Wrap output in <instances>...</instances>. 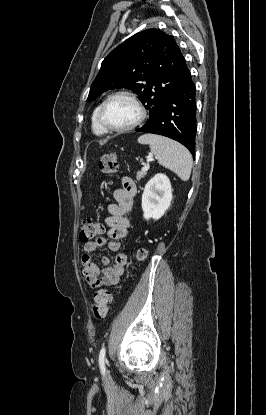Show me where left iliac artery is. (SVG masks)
<instances>
[{
    "label": "left iliac artery",
    "mask_w": 266,
    "mask_h": 415,
    "mask_svg": "<svg viewBox=\"0 0 266 415\" xmlns=\"http://www.w3.org/2000/svg\"><path fill=\"white\" fill-rule=\"evenodd\" d=\"M106 348L103 346L99 353V366L102 373H105Z\"/></svg>",
    "instance_id": "obj_1"
}]
</instances>
